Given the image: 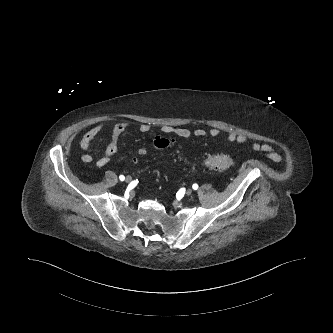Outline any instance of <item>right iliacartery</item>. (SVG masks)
Instances as JSON below:
<instances>
[{
    "mask_svg": "<svg viewBox=\"0 0 333 333\" xmlns=\"http://www.w3.org/2000/svg\"><path fill=\"white\" fill-rule=\"evenodd\" d=\"M119 179H120L121 181H124V180H125V177H124L123 175H120V176H119Z\"/></svg>",
    "mask_w": 333,
    "mask_h": 333,
    "instance_id": "82829eb1",
    "label": "right iliac artery"
}]
</instances>
